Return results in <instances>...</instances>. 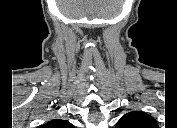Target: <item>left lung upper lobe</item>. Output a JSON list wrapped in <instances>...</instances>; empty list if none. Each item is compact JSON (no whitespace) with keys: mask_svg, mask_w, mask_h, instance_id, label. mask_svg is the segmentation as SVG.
Instances as JSON below:
<instances>
[{"mask_svg":"<svg viewBox=\"0 0 177 128\" xmlns=\"http://www.w3.org/2000/svg\"><path fill=\"white\" fill-rule=\"evenodd\" d=\"M156 120L141 111H132L120 118L116 128H156Z\"/></svg>","mask_w":177,"mask_h":128,"instance_id":"obj_1","label":"left lung upper lobe"}]
</instances>
